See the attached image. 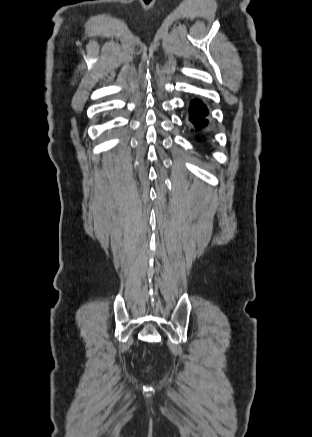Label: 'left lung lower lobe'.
Masks as SVG:
<instances>
[{
	"label": "left lung lower lobe",
	"instance_id": "left-lung-lower-lobe-1",
	"mask_svg": "<svg viewBox=\"0 0 312 437\" xmlns=\"http://www.w3.org/2000/svg\"><path fill=\"white\" fill-rule=\"evenodd\" d=\"M189 111L190 121L193 123L196 130H200L207 125V120L205 119V116H207L208 110L201 101H192Z\"/></svg>",
	"mask_w": 312,
	"mask_h": 437
}]
</instances>
